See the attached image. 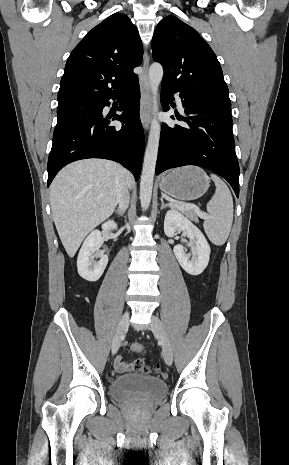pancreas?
<instances>
[{"label": "pancreas", "instance_id": "1", "mask_svg": "<svg viewBox=\"0 0 289 465\" xmlns=\"http://www.w3.org/2000/svg\"><path fill=\"white\" fill-rule=\"evenodd\" d=\"M182 213L185 214L189 219L194 222H198L197 212L193 209H181Z\"/></svg>", "mask_w": 289, "mask_h": 465}]
</instances>
